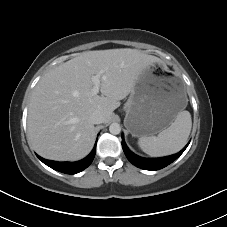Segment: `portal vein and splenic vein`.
Segmentation results:
<instances>
[{"label": "portal vein and splenic vein", "mask_w": 227, "mask_h": 227, "mask_svg": "<svg viewBox=\"0 0 227 227\" xmlns=\"http://www.w3.org/2000/svg\"><path fill=\"white\" fill-rule=\"evenodd\" d=\"M91 81L93 82L92 95H97L100 89V74L93 75Z\"/></svg>", "instance_id": "1"}]
</instances>
